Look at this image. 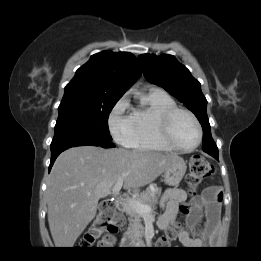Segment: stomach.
Returning <instances> with one entry per match:
<instances>
[{
    "mask_svg": "<svg viewBox=\"0 0 261 261\" xmlns=\"http://www.w3.org/2000/svg\"><path fill=\"white\" fill-rule=\"evenodd\" d=\"M187 166L181 157H177L170 165V167L163 173L165 184L168 186H176L182 180Z\"/></svg>",
    "mask_w": 261,
    "mask_h": 261,
    "instance_id": "stomach-1",
    "label": "stomach"
}]
</instances>
